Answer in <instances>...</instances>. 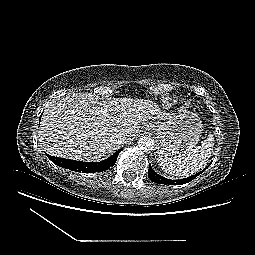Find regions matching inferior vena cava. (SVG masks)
<instances>
[{"mask_svg":"<svg viewBox=\"0 0 255 255\" xmlns=\"http://www.w3.org/2000/svg\"><path fill=\"white\" fill-rule=\"evenodd\" d=\"M116 139L119 142L124 143L126 141V135L123 133L116 134Z\"/></svg>","mask_w":255,"mask_h":255,"instance_id":"1","label":"inferior vena cava"}]
</instances>
